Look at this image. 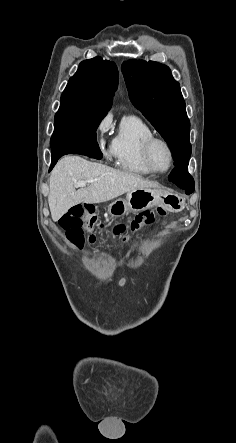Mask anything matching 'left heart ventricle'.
<instances>
[{
    "mask_svg": "<svg viewBox=\"0 0 236 443\" xmlns=\"http://www.w3.org/2000/svg\"><path fill=\"white\" fill-rule=\"evenodd\" d=\"M152 160L155 167L159 170H165L169 165V153L165 146L156 144L152 150Z\"/></svg>",
    "mask_w": 236,
    "mask_h": 443,
    "instance_id": "b2bd125f",
    "label": "left heart ventricle"
}]
</instances>
